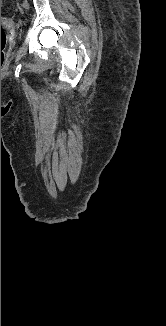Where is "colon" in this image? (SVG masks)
<instances>
[{
    "instance_id": "obj_1",
    "label": "colon",
    "mask_w": 166,
    "mask_h": 326,
    "mask_svg": "<svg viewBox=\"0 0 166 326\" xmlns=\"http://www.w3.org/2000/svg\"><path fill=\"white\" fill-rule=\"evenodd\" d=\"M7 42V35L1 25V66L4 64V48Z\"/></svg>"
}]
</instances>
